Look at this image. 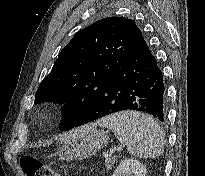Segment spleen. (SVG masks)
<instances>
[{
    "mask_svg": "<svg viewBox=\"0 0 205 176\" xmlns=\"http://www.w3.org/2000/svg\"><path fill=\"white\" fill-rule=\"evenodd\" d=\"M97 123L111 129L131 155L154 159L163 153V132L149 115L137 111H121L106 116Z\"/></svg>",
    "mask_w": 205,
    "mask_h": 176,
    "instance_id": "obj_1",
    "label": "spleen"
}]
</instances>
